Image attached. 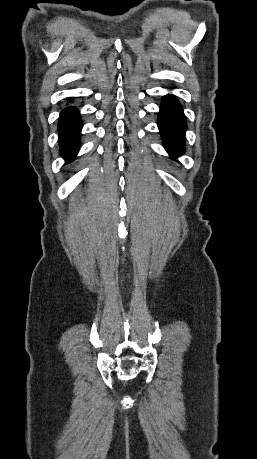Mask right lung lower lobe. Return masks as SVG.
I'll list each match as a JSON object with an SVG mask.
<instances>
[{"label":"right lung lower lobe","instance_id":"obj_1","mask_svg":"<svg viewBox=\"0 0 257 459\" xmlns=\"http://www.w3.org/2000/svg\"><path fill=\"white\" fill-rule=\"evenodd\" d=\"M81 127L80 115L75 107L61 112L58 122L60 152L67 161L73 160L78 152Z\"/></svg>","mask_w":257,"mask_h":459}]
</instances>
